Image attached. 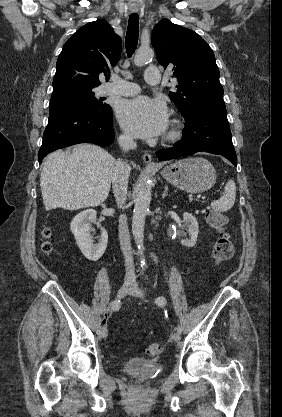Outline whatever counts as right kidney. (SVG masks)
Listing matches in <instances>:
<instances>
[{"label":"right kidney","mask_w":282,"mask_h":417,"mask_svg":"<svg viewBox=\"0 0 282 417\" xmlns=\"http://www.w3.org/2000/svg\"><path fill=\"white\" fill-rule=\"evenodd\" d=\"M96 211L94 209H86L82 213H78L70 223L71 233L75 237V241L84 257L89 261H98L104 255L108 243V235L105 229H101V235L98 245H93L91 235V225L96 221Z\"/></svg>","instance_id":"obj_1"}]
</instances>
